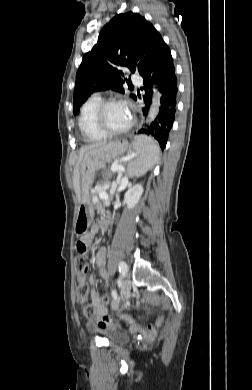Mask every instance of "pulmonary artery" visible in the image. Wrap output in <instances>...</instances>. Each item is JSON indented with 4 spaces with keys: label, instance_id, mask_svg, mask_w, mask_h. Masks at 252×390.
Returning a JSON list of instances; mask_svg holds the SVG:
<instances>
[{
    "label": "pulmonary artery",
    "instance_id": "pulmonary-artery-1",
    "mask_svg": "<svg viewBox=\"0 0 252 390\" xmlns=\"http://www.w3.org/2000/svg\"><path fill=\"white\" fill-rule=\"evenodd\" d=\"M132 80H133L135 83H140V81H141L140 77L137 76V75H134V76L132 77Z\"/></svg>",
    "mask_w": 252,
    "mask_h": 390
}]
</instances>
